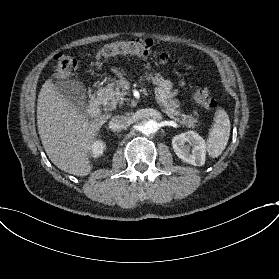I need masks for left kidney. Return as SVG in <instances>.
<instances>
[{
	"mask_svg": "<svg viewBox=\"0 0 279 279\" xmlns=\"http://www.w3.org/2000/svg\"><path fill=\"white\" fill-rule=\"evenodd\" d=\"M176 155L184 162L199 167L204 165L205 141L192 131L179 134L172 140Z\"/></svg>",
	"mask_w": 279,
	"mask_h": 279,
	"instance_id": "left-kidney-1",
	"label": "left kidney"
}]
</instances>
